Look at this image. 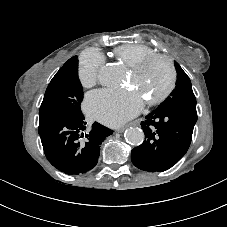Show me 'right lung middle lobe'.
Masks as SVG:
<instances>
[{
  "label": "right lung middle lobe",
  "instance_id": "right-lung-middle-lobe-1",
  "mask_svg": "<svg viewBox=\"0 0 227 227\" xmlns=\"http://www.w3.org/2000/svg\"><path fill=\"white\" fill-rule=\"evenodd\" d=\"M82 100L83 90L78 79V59L74 56L50 81L39 109V125L57 116H82L80 109Z\"/></svg>",
  "mask_w": 227,
  "mask_h": 227
}]
</instances>
